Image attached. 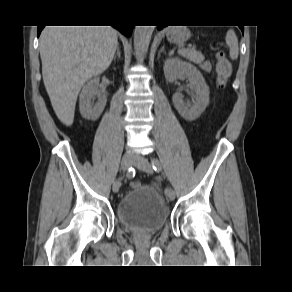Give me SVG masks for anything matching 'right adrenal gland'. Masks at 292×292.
Returning <instances> with one entry per match:
<instances>
[{
  "instance_id": "1",
  "label": "right adrenal gland",
  "mask_w": 292,
  "mask_h": 292,
  "mask_svg": "<svg viewBox=\"0 0 292 292\" xmlns=\"http://www.w3.org/2000/svg\"><path fill=\"white\" fill-rule=\"evenodd\" d=\"M116 57L121 58V52H120V46L119 43L117 45V52L115 54V56L113 57V60L115 61Z\"/></svg>"
}]
</instances>
